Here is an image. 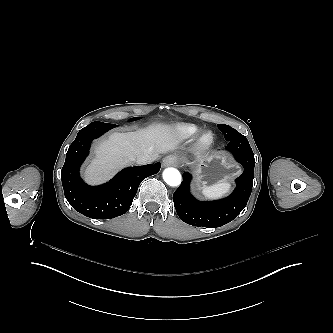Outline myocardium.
Returning <instances> with one entry per match:
<instances>
[{"label": "myocardium", "instance_id": "f54148a6", "mask_svg": "<svg viewBox=\"0 0 333 333\" xmlns=\"http://www.w3.org/2000/svg\"><path fill=\"white\" fill-rule=\"evenodd\" d=\"M214 143V134L211 131L201 132L195 141V147L197 150H206Z\"/></svg>", "mask_w": 333, "mask_h": 333}]
</instances>
